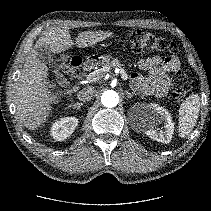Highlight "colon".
Masks as SVG:
<instances>
[{"mask_svg": "<svg viewBox=\"0 0 211 211\" xmlns=\"http://www.w3.org/2000/svg\"><path fill=\"white\" fill-rule=\"evenodd\" d=\"M129 42L132 49L138 53H167L175 54L177 45L175 42L168 41L160 36L146 30H136L130 37ZM62 66L67 68L71 74L81 66L78 57L66 58ZM189 77L181 70H175L172 76V97L177 100L183 99L191 89Z\"/></svg>", "mask_w": 211, "mask_h": 211, "instance_id": "5ec220e1", "label": "colon"}]
</instances>
